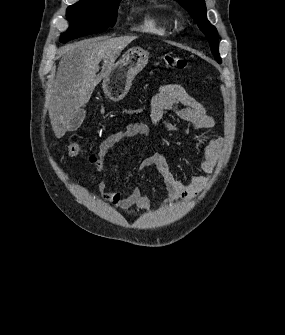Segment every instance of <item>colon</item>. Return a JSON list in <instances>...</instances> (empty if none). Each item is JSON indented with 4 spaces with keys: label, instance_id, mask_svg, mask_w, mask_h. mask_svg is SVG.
<instances>
[{
    "label": "colon",
    "instance_id": "obj_1",
    "mask_svg": "<svg viewBox=\"0 0 285 335\" xmlns=\"http://www.w3.org/2000/svg\"><path fill=\"white\" fill-rule=\"evenodd\" d=\"M164 63L171 69L182 70L187 66V61L181 57H178L172 53H166L163 55ZM81 142L78 140L73 141L68 146V154L70 156H76L81 149Z\"/></svg>",
    "mask_w": 285,
    "mask_h": 335
}]
</instances>
